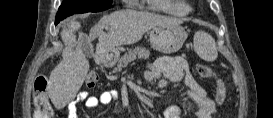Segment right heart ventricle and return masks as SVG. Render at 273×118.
<instances>
[{
	"instance_id": "obj_1",
	"label": "right heart ventricle",
	"mask_w": 273,
	"mask_h": 118,
	"mask_svg": "<svg viewBox=\"0 0 273 118\" xmlns=\"http://www.w3.org/2000/svg\"><path fill=\"white\" fill-rule=\"evenodd\" d=\"M152 3L154 9L177 16L186 15L191 11V8L184 1L159 0Z\"/></svg>"
}]
</instances>
